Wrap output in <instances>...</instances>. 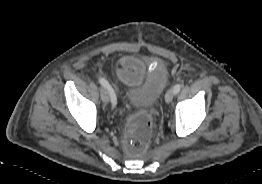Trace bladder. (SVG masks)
<instances>
[{"label": "bladder", "instance_id": "31cf9c89", "mask_svg": "<svg viewBox=\"0 0 262 184\" xmlns=\"http://www.w3.org/2000/svg\"><path fill=\"white\" fill-rule=\"evenodd\" d=\"M166 85L167 78L164 75H151L141 85L129 89L127 101L135 109H148L155 105Z\"/></svg>", "mask_w": 262, "mask_h": 184}]
</instances>
